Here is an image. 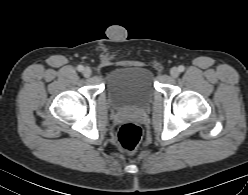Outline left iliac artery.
I'll return each mask as SVG.
<instances>
[{
	"instance_id": "left-iliac-artery-1",
	"label": "left iliac artery",
	"mask_w": 248,
	"mask_h": 195,
	"mask_svg": "<svg viewBox=\"0 0 248 195\" xmlns=\"http://www.w3.org/2000/svg\"><path fill=\"white\" fill-rule=\"evenodd\" d=\"M178 69H179L180 72H183L185 70V67L183 65H181V66L178 67Z\"/></svg>"
}]
</instances>
